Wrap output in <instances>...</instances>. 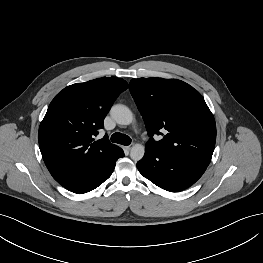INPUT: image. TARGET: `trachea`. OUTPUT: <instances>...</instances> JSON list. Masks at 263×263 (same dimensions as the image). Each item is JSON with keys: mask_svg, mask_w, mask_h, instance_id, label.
Instances as JSON below:
<instances>
[{"mask_svg": "<svg viewBox=\"0 0 263 263\" xmlns=\"http://www.w3.org/2000/svg\"><path fill=\"white\" fill-rule=\"evenodd\" d=\"M111 141L113 143L122 144L128 146L131 143V138L120 132H116L111 136Z\"/></svg>", "mask_w": 263, "mask_h": 263, "instance_id": "3493384b", "label": "trachea"}]
</instances>
